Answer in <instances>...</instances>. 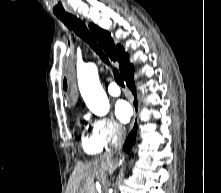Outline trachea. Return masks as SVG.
Masks as SVG:
<instances>
[{
	"label": "trachea",
	"instance_id": "1",
	"mask_svg": "<svg viewBox=\"0 0 221 193\" xmlns=\"http://www.w3.org/2000/svg\"><path fill=\"white\" fill-rule=\"evenodd\" d=\"M57 17L69 29L73 30L78 36H80L85 42H87L91 46V48L100 56L102 61L109 65V60L107 56L103 53L100 46L95 42L94 38L92 37L91 33L82 20L72 14L57 15ZM113 74L117 84L124 87L121 75L116 68L113 69Z\"/></svg>",
	"mask_w": 221,
	"mask_h": 193
}]
</instances>
